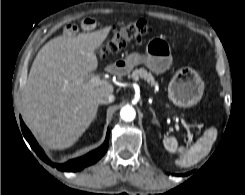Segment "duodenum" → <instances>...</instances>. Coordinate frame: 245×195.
Listing matches in <instances>:
<instances>
[{
  "label": "duodenum",
  "mask_w": 245,
  "mask_h": 195,
  "mask_svg": "<svg viewBox=\"0 0 245 195\" xmlns=\"http://www.w3.org/2000/svg\"><path fill=\"white\" fill-rule=\"evenodd\" d=\"M116 70H117V67H115V66H111V67L108 68V71H109L110 73H113V72H115Z\"/></svg>",
  "instance_id": "1"
}]
</instances>
